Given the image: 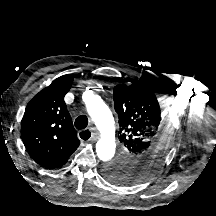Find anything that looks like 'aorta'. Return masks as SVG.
Masks as SVG:
<instances>
[{"label": "aorta", "mask_w": 216, "mask_h": 216, "mask_svg": "<svg viewBox=\"0 0 216 216\" xmlns=\"http://www.w3.org/2000/svg\"><path fill=\"white\" fill-rule=\"evenodd\" d=\"M88 114L100 131L101 138L96 144V153L100 160L110 161L115 154V122L106 104L98 96L86 102Z\"/></svg>", "instance_id": "1"}]
</instances>
